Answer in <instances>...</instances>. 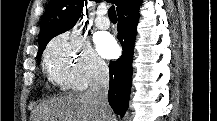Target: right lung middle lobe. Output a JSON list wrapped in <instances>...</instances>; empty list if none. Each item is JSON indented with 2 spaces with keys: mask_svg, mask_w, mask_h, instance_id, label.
<instances>
[{
  "mask_svg": "<svg viewBox=\"0 0 217 121\" xmlns=\"http://www.w3.org/2000/svg\"><path fill=\"white\" fill-rule=\"evenodd\" d=\"M44 49H45V47L42 48V49H40V50L38 51V53H37V59H38V60H40L41 55H42V52H43Z\"/></svg>",
  "mask_w": 217,
  "mask_h": 121,
  "instance_id": "dd1d6c3e",
  "label": "right lung middle lobe"
}]
</instances>
